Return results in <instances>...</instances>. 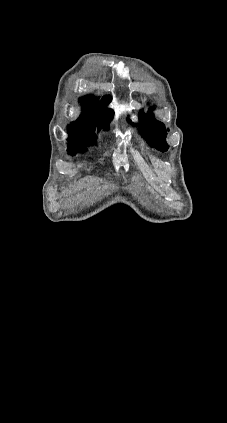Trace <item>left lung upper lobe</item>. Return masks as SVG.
I'll use <instances>...</instances> for the list:
<instances>
[{
  "instance_id": "1",
  "label": "left lung upper lobe",
  "mask_w": 227,
  "mask_h": 423,
  "mask_svg": "<svg viewBox=\"0 0 227 423\" xmlns=\"http://www.w3.org/2000/svg\"><path fill=\"white\" fill-rule=\"evenodd\" d=\"M143 137L151 144L159 146L160 151H166L168 146L165 142L166 129L162 122L153 118L152 114L140 113Z\"/></svg>"
}]
</instances>
